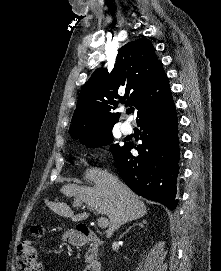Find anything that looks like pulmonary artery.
<instances>
[{
  "label": "pulmonary artery",
  "instance_id": "e3ab8cb5",
  "mask_svg": "<svg viewBox=\"0 0 221 271\" xmlns=\"http://www.w3.org/2000/svg\"><path fill=\"white\" fill-rule=\"evenodd\" d=\"M123 119H126V118L123 117ZM122 130H123L124 134H128L131 131V127L130 126H122Z\"/></svg>",
  "mask_w": 221,
  "mask_h": 271
}]
</instances>
